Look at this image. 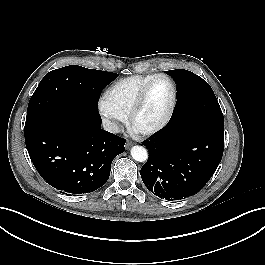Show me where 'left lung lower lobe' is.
<instances>
[{
  "mask_svg": "<svg viewBox=\"0 0 265 265\" xmlns=\"http://www.w3.org/2000/svg\"><path fill=\"white\" fill-rule=\"evenodd\" d=\"M149 158L141 178L156 196L168 201L196 194L214 174L224 148V129L201 122L168 125L143 143Z\"/></svg>",
  "mask_w": 265,
  "mask_h": 265,
  "instance_id": "0a47b994",
  "label": "left lung lower lobe"
}]
</instances>
